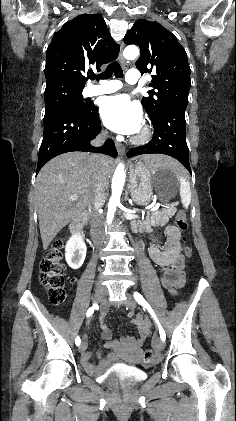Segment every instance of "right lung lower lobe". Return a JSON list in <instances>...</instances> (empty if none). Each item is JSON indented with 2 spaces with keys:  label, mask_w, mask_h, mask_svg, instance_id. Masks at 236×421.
<instances>
[{
  "label": "right lung lower lobe",
  "mask_w": 236,
  "mask_h": 421,
  "mask_svg": "<svg viewBox=\"0 0 236 421\" xmlns=\"http://www.w3.org/2000/svg\"><path fill=\"white\" fill-rule=\"evenodd\" d=\"M83 112L57 110L44 116L43 140L39 149L37 171L55 156L71 151L96 152L117 156L112 140H107L99 148L90 145V141L101 131L98 107L89 103Z\"/></svg>",
  "instance_id": "right-lung-lower-lobe-1"
}]
</instances>
